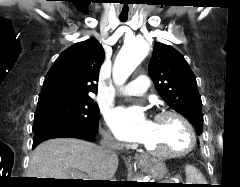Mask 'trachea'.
Listing matches in <instances>:
<instances>
[{"instance_id":"3493384b","label":"trachea","mask_w":240,"mask_h":187,"mask_svg":"<svg viewBox=\"0 0 240 187\" xmlns=\"http://www.w3.org/2000/svg\"><path fill=\"white\" fill-rule=\"evenodd\" d=\"M127 18L126 17H120V21H126Z\"/></svg>"}]
</instances>
